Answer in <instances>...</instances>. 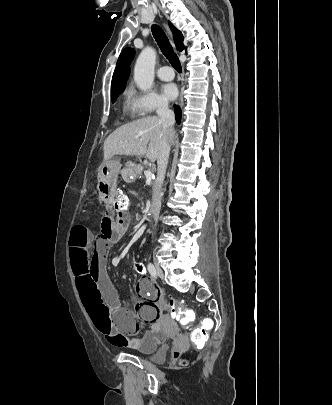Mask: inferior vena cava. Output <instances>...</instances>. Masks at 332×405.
Here are the masks:
<instances>
[{"instance_id": "1", "label": "inferior vena cava", "mask_w": 332, "mask_h": 405, "mask_svg": "<svg viewBox=\"0 0 332 405\" xmlns=\"http://www.w3.org/2000/svg\"><path fill=\"white\" fill-rule=\"evenodd\" d=\"M157 115L159 117L160 123L163 125L165 130V136L163 139L160 154L157 158V176L155 183L153 185V195L151 212L153 218L156 220L159 217L161 209V196L160 190L165 178L166 168L168 164V158L170 153V139L169 136L174 133V122L175 116L173 111L168 107L167 101H160L157 106Z\"/></svg>"}]
</instances>
